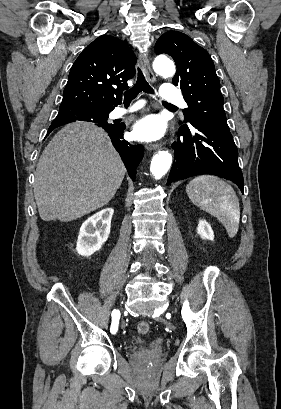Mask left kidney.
Segmentation results:
<instances>
[{"instance_id": "1", "label": "left kidney", "mask_w": 281, "mask_h": 409, "mask_svg": "<svg viewBox=\"0 0 281 409\" xmlns=\"http://www.w3.org/2000/svg\"><path fill=\"white\" fill-rule=\"evenodd\" d=\"M197 233L202 237V239H208V241H213L214 239V233L207 221H204V219H201L199 221V225L197 227Z\"/></svg>"}]
</instances>
